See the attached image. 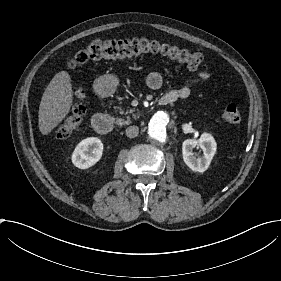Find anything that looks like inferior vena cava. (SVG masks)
Here are the masks:
<instances>
[{
	"label": "inferior vena cava",
	"instance_id": "602c4592",
	"mask_svg": "<svg viewBox=\"0 0 281 281\" xmlns=\"http://www.w3.org/2000/svg\"><path fill=\"white\" fill-rule=\"evenodd\" d=\"M138 133H139V128L137 126H129L125 130V134L129 138L137 137Z\"/></svg>",
	"mask_w": 281,
	"mask_h": 281
}]
</instances>
